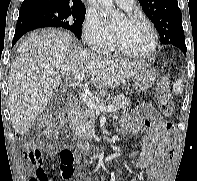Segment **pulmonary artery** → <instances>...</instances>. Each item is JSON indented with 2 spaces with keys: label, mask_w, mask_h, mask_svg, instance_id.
Wrapping results in <instances>:
<instances>
[{
  "label": "pulmonary artery",
  "mask_w": 197,
  "mask_h": 181,
  "mask_svg": "<svg viewBox=\"0 0 197 181\" xmlns=\"http://www.w3.org/2000/svg\"><path fill=\"white\" fill-rule=\"evenodd\" d=\"M116 4L121 6L122 8L126 10L132 9L134 5V0H114Z\"/></svg>",
  "instance_id": "1"
}]
</instances>
